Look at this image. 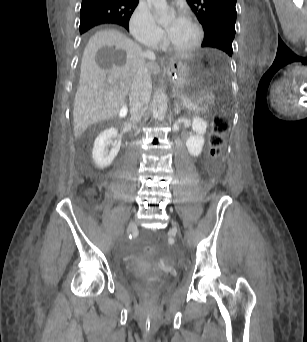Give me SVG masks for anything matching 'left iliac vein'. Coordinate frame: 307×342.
<instances>
[{
	"label": "left iliac vein",
	"mask_w": 307,
	"mask_h": 342,
	"mask_svg": "<svg viewBox=\"0 0 307 342\" xmlns=\"http://www.w3.org/2000/svg\"><path fill=\"white\" fill-rule=\"evenodd\" d=\"M172 223H173V228H172V230L175 232V233H178V226H177V224L174 222V221H172Z\"/></svg>",
	"instance_id": "obj_1"
}]
</instances>
